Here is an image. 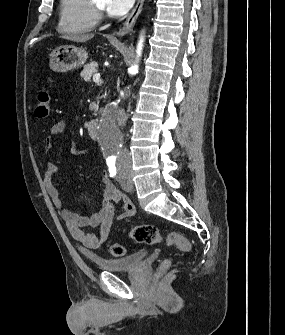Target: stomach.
Masks as SVG:
<instances>
[{"label":"stomach","mask_w":285,"mask_h":335,"mask_svg":"<svg viewBox=\"0 0 285 335\" xmlns=\"http://www.w3.org/2000/svg\"><path fill=\"white\" fill-rule=\"evenodd\" d=\"M85 48L76 46H59L50 54L49 66L53 72H67L85 64L88 60Z\"/></svg>","instance_id":"obj_1"}]
</instances>
